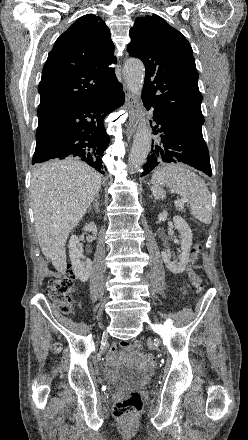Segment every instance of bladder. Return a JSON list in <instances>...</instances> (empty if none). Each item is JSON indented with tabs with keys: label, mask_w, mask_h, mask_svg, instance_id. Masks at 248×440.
I'll use <instances>...</instances> for the list:
<instances>
[{
	"label": "bladder",
	"mask_w": 248,
	"mask_h": 440,
	"mask_svg": "<svg viewBox=\"0 0 248 440\" xmlns=\"http://www.w3.org/2000/svg\"><path fill=\"white\" fill-rule=\"evenodd\" d=\"M105 376L110 381H117V380H127L132 378H144V375L128 369H121V370H106Z\"/></svg>",
	"instance_id": "bladder-1"
}]
</instances>
